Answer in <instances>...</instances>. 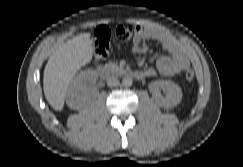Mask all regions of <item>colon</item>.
Returning <instances> with one entry per match:
<instances>
[{
  "mask_svg": "<svg viewBox=\"0 0 243 167\" xmlns=\"http://www.w3.org/2000/svg\"><path fill=\"white\" fill-rule=\"evenodd\" d=\"M137 27L119 25L115 28L116 38L122 43H128L136 33ZM111 29L107 25H100L95 31L94 56L96 60L105 59L110 50ZM188 81L194 79V72L188 69L185 73Z\"/></svg>",
  "mask_w": 243,
  "mask_h": 167,
  "instance_id": "obj_1",
  "label": "colon"
}]
</instances>
